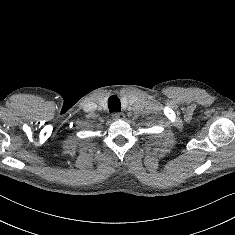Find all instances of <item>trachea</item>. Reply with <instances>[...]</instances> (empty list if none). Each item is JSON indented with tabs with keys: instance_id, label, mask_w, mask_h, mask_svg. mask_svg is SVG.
Instances as JSON below:
<instances>
[{
	"instance_id": "obj_1",
	"label": "trachea",
	"mask_w": 235,
	"mask_h": 235,
	"mask_svg": "<svg viewBox=\"0 0 235 235\" xmlns=\"http://www.w3.org/2000/svg\"><path fill=\"white\" fill-rule=\"evenodd\" d=\"M108 107L110 112L121 111V103L117 96L113 95L108 99Z\"/></svg>"
}]
</instances>
